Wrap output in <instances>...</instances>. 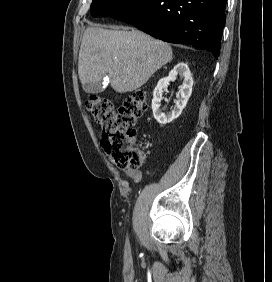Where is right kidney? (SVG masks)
<instances>
[{"label":"right kidney","mask_w":272,"mask_h":282,"mask_svg":"<svg viewBox=\"0 0 272 282\" xmlns=\"http://www.w3.org/2000/svg\"><path fill=\"white\" fill-rule=\"evenodd\" d=\"M178 75L183 79V84L177 93V100L174 109L166 115L160 109L163 89L167 87L170 81H174ZM192 86V74L188 65L183 62L175 65L167 77L161 78L158 81V84L153 91L152 110L154 118L159 124H168L180 116L191 96Z\"/></svg>","instance_id":"ca27d5eb"}]
</instances>
